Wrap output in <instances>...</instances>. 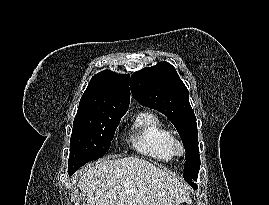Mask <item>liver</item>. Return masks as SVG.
I'll return each mask as SVG.
<instances>
[{"label":"liver","mask_w":269,"mask_h":205,"mask_svg":"<svg viewBox=\"0 0 269 205\" xmlns=\"http://www.w3.org/2000/svg\"><path fill=\"white\" fill-rule=\"evenodd\" d=\"M87 205H179L189 188L164 170L137 157L103 160L79 175Z\"/></svg>","instance_id":"liver-1"}]
</instances>
